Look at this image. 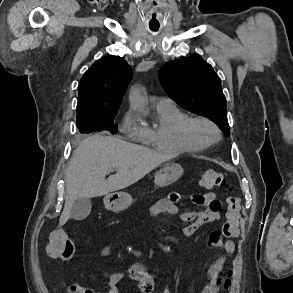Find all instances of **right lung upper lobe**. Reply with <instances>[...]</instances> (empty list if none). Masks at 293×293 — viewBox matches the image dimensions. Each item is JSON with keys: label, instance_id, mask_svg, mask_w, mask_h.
<instances>
[{"label": "right lung upper lobe", "instance_id": "cb5924a9", "mask_svg": "<svg viewBox=\"0 0 293 293\" xmlns=\"http://www.w3.org/2000/svg\"><path fill=\"white\" fill-rule=\"evenodd\" d=\"M131 78V67L123 58L109 55L99 59L80 81L77 112H117Z\"/></svg>", "mask_w": 293, "mask_h": 293}]
</instances>
